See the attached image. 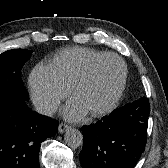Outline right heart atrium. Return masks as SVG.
<instances>
[{
	"mask_svg": "<svg viewBox=\"0 0 168 168\" xmlns=\"http://www.w3.org/2000/svg\"><path fill=\"white\" fill-rule=\"evenodd\" d=\"M29 88L36 109L43 115L53 113L71 91L55 68L44 63L37 64L31 71Z\"/></svg>",
	"mask_w": 168,
	"mask_h": 168,
	"instance_id": "obj_1",
	"label": "right heart atrium"
}]
</instances>
